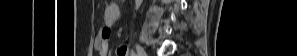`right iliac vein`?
I'll return each instance as SVG.
<instances>
[{
    "instance_id": "obj_1",
    "label": "right iliac vein",
    "mask_w": 297,
    "mask_h": 56,
    "mask_svg": "<svg viewBox=\"0 0 297 56\" xmlns=\"http://www.w3.org/2000/svg\"><path fill=\"white\" fill-rule=\"evenodd\" d=\"M136 50L139 56H147L145 50L140 45H136Z\"/></svg>"
}]
</instances>
